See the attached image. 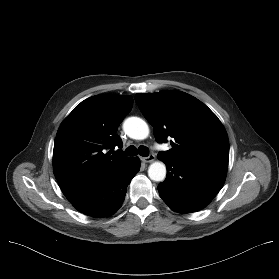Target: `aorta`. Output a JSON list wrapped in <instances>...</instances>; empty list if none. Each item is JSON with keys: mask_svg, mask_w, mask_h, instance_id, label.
I'll list each match as a JSON object with an SVG mask.
<instances>
[{"mask_svg": "<svg viewBox=\"0 0 279 279\" xmlns=\"http://www.w3.org/2000/svg\"><path fill=\"white\" fill-rule=\"evenodd\" d=\"M125 133L132 139L143 140L149 135L148 124L139 117H129L123 123ZM151 180L161 182L166 177V166L163 162H153L148 168Z\"/></svg>", "mask_w": 279, "mask_h": 279, "instance_id": "1", "label": "aorta"}]
</instances>
